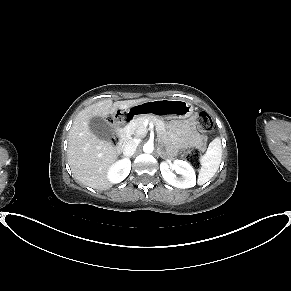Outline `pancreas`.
<instances>
[{
    "instance_id": "obj_1",
    "label": "pancreas",
    "mask_w": 291,
    "mask_h": 291,
    "mask_svg": "<svg viewBox=\"0 0 291 291\" xmlns=\"http://www.w3.org/2000/svg\"><path fill=\"white\" fill-rule=\"evenodd\" d=\"M145 121L152 122L156 125L157 130L160 134L165 132V122L154 116H140L134 119L129 125H127L123 132L124 134L134 135L135 137H143L147 132V127L145 126Z\"/></svg>"
}]
</instances>
